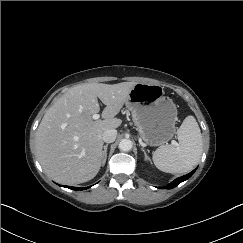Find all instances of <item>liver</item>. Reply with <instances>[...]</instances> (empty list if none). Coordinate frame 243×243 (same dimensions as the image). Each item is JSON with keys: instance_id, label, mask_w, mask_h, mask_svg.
Listing matches in <instances>:
<instances>
[{"instance_id": "1", "label": "liver", "mask_w": 243, "mask_h": 243, "mask_svg": "<svg viewBox=\"0 0 243 243\" xmlns=\"http://www.w3.org/2000/svg\"><path fill=\"white\" fill-rule=\"evenodd\" d=\"M135 82L85 83L70 88L43 116L35 135L39 162L56 182L73 185L93 179L102 165L103 132L116 129L115 116L129 97ZM106 106L104 120H93Z\"/></svg>"}]
</instances>
